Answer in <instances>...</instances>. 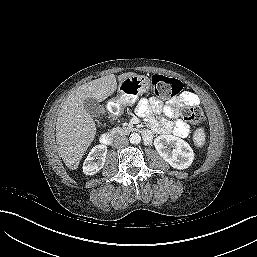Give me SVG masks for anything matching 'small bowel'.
<instances>
[{"label":"small bowel","instance_id":"small-bowel-1","mask_svg":"<svg viewBox=\"0 0 257 257\" xmlns=\"http://www.w3.org/2000/svg\"><path fill=\"white\" fill-rule=\"evenodd\" d=\"M182 105L189 107L197 106L199 105V98L194 93L185 91L179 97L170 100L165 105L156 98L149 100L142 99L138 102L136 111L140 116L148 119L153 132L159 134L173 132L179 137H186L190 132L189 126L181 120L174 122L169 120L176 116L177 109ZM153 112H162L169 119L156 120L151 117ZM148 132L150 133L151 139L152 134L150 131ZM150 139L147 141H150Z\"/></svg>","mask_w":257,"mask_h":257}]
</instances>
